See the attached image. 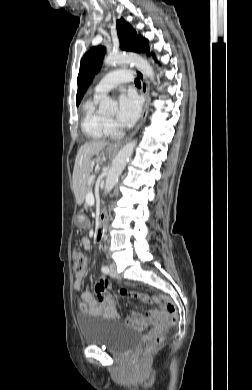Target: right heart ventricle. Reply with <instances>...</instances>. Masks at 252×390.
<instances>
[{"instance_id":"e07e8e85","label":"right heart ventricle","mask_w":252,"mask_h":390,"mask_svg":"<svg viewBox=\"0 0 252 390\" xmlns=\"http://www.w3.org/2000/svg\"><path fill=\"white\" fill-rule=\"evenodd\" d=\"M97 98L88 99L82 109L81 127L83 132L92 140H103L112 133L108 128V119L97 108Z\"/></svg>"}]
</instances>
